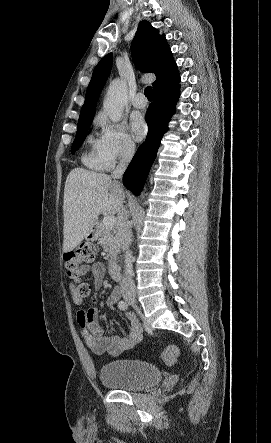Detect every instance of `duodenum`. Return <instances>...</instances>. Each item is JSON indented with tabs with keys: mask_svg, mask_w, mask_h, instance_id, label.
Segmentation results:
<instances>
[{
	"mask_svg": "<svg viewBox=\"0 0 271 443\" xmlns=\"http://www.w3.org/2000/svg\"><path fill=\"white\" fill-rule=\"evenodd\" d=\"M109 273L113 278H119L120 277V267L117 261L112 260L109 264Z\"/></svg>",
	"mask_w": 271,
	"mask_h": 443,
	"instance_id": "duodenum-1",
	"label": "duodenum"
}]
</instances>
